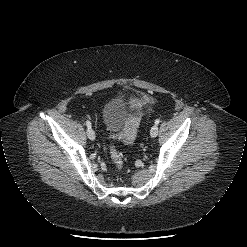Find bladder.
<instances>
[{
  "label": "bladder",
  "mask_w": 247,
  "mask_h": 247,
  "mask_svg": "<svg viewBox=\"0 0 247 247\" xmlns=\"http://www.w3.org/2000/svg\"><path fill=\"white\" fill-rule=\"evenodd\" d=\"M134 112L121 98L108 101L102 109V122L115 140L130 144L134 139Z\"/></svg>",
  "instance_id": "bladder-1"
}]
</instances>
